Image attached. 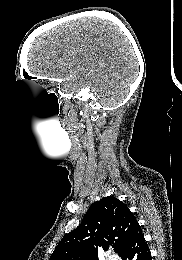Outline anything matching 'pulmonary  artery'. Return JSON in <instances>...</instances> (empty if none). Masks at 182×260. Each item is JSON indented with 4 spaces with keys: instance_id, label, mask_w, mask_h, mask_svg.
<instances>
[{
    "instance_id": "pulmonary-artery-1",
    "label": "pulmonary artery",
    "mask_w": 182,
    "mask_h": 260,
    "mask_svg": "<svg viewBox=\"0 0 182 260\" xmlns=\"http://www.w3.org/2000/svg\"><path fill=\"white\" fill-rule=\"evenodd\" d=\"M107 260H121V258L117 255H110Z\"/></svg>"
}]
</instances>
